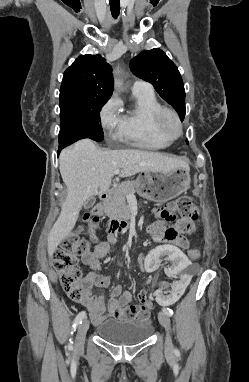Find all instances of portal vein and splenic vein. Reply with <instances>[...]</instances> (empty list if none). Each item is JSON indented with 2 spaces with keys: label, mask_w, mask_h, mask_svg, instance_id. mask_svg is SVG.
<instances>
[{
  "label": "portal vein and splenic vein",
  "mask_w": 249,
  "mask_h": 382,
  "mask_svg": "<svg viewBox=\"0 0 249 382\" xmlns=\"http://www.w3.org/2000/svg\"><path fill=\"white\" fill-rule=\"evenodd\" d=\"M119 172H120V170H119V169H116V170L114 171V174H119Z\"/></svg>",
  "instance_id": "1"
}]
</instances>
